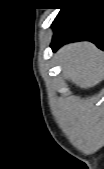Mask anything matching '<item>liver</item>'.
<instances>
[{
    "label": "liver",
    "mask_w": 104,
    "mask_h": 169,
    "mask_svg": "<svg viewBox=\"0 0 104 169\" xmlns=\"http://www.w3.org/2000/svg\"><path fill=\"white\" fill-rule=\"evenodd\" d=\"M63 75L76 86L88 89L103 79V53L92 43L65 45L58 51Z\"/></svg>",
    "instance_id": "6515ba94"
}]
</instances>
